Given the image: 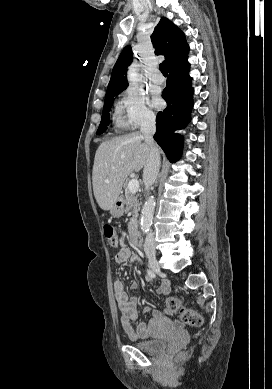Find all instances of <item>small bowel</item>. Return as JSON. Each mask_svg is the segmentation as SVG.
Returning a JSON list of instances; mask_svg holds the SVG:
<instances>
[{"instance_id": "obj_1", "label": "small bowel", "mask_w": 272, "mask_h": 389, "mask_svg": "<svg viewBox=\"0 0 272 389\" xmlns=\"http://www.w3.org/2000/svg\"><path fill=\"white\" fill-rule=\"evenodd\" d=\"M120 249L119 251L115 254L114 260L116 263H124L128 259H131L133 262H139V259L136 255L132 254L130 249L125 245L123 238L120 239ZM131 289H136L137 288V283L136 282H131L130 284ZM113 290H114V295L115 299L120 311V316H121V324L124 332L126 335L134 341L138 340H145L149 339L152 337V329L150 326V323H152L154 320L158 319L161 317V313L158 311H153V320L150 323L146 322H140L135 329L133 327V322H135L138 318V304H139V299L137 297H131L129 298L127 293L125 292L124 289V284L122 281L117 280L114 282L113 285ZM170 291V287L168 284L163 283L159 288H158V293L159 294H168ZM149 308H145V311H149Z\"/></svg>"}]
</instances>
